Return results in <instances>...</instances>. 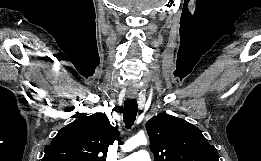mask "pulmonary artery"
<instances>
[{"instance_id": "obj_1", "label": "pulmonary artery", "mask_w": 261, "mask_h": 161, "mask_svg": "<svg viewBox=\"0 0 261 161\" xmlns=\"http://www.w3.org/2000/svg\"><path fill=\"white\" fill-rule=\"evenodd\" d=\"M120 161H151V157L146 149H140Z\"/></svg>"}]
</instances>
